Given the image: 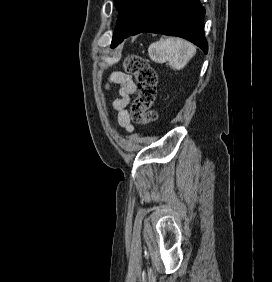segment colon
Masks as SVG:
<instances>
[{
  "instance_id": "colon-1",
  "label": "colon",
  "mask_w": 272,
  "mask_h": 282,
  "mask_svg": "<svg viewBox=\"0 0 272 282\" xmlns=\"http://www.w3.org/2000/svg\"><path fill=\"white\" fill-rule=\"evenodd\" d=\"M124 70L133 75L137 82V96L130 107V119L137 124H147L155 120L152 110L157 96L158 78L156 71L140 55H130L124 61Z\"/></svg>"
}]
</instances>
